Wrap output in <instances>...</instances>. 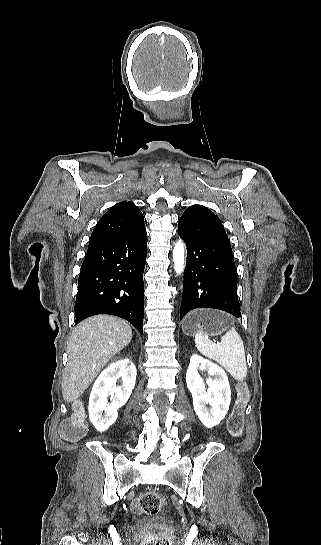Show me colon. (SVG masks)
Wrapping results in <instances>:
<instances>
[{
    "label": "colon",
    "mask_w": 321,
    "mask_h": 545,
    "mask_svg": "<svg viewBox=\"0 0 321 545\" xmlns=\"http://www.w3.org/2000/svg\"><path fill=\"white\" fill-rule=\"evenodd\" d=\"M249 399L248 391L240 386L238 395L234 402L231 415L228 419V430L232 436L239 437L244 431V410ZM87 425L83 410L78 407L75 413L66 419L60 428L61 436L71 442L84 437ZM166 506L164 498L157 492H146L141 494L133 503L132 510L135 513L157 514ZM142 545H169L166 536L161 532L150 533L144 539Z\"/></svg>",
    "instance_id": "1"
}]
</instances>
